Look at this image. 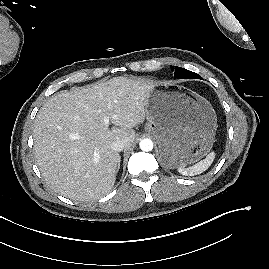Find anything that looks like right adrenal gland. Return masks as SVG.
<instances>
[{"label":"right adrenal gland","instance_id":"1","mask_svg":"<svg viewBox=\"0 0 269 269\" xmlns=\"http://www.w3.org/2000/svg\"><path fill=\"white\" fill-rule=\"evenodd\" d=\"M120 169V162H119V164H118V170Z\"/></svg>","mask_w":269,"mask_h":269}]
</instances>
